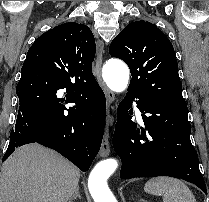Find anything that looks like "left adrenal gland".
Wrapping results in <instances>:
<instances>
[{"instance_id": "left-adrenal-gland-1", "label": "left adrenal gland", "mask_w": 209, "mask_h": 202, "mask_svg": "<svg viewBox=\"0 0 209 202\" xmlns=\"http://www.w3.org/2000/svg\"><path fill=\"white\" fill-rule=\"evenodd\" d=\"M141 202H146L144 199H140Z\"/></svg>"}]
</instances>
